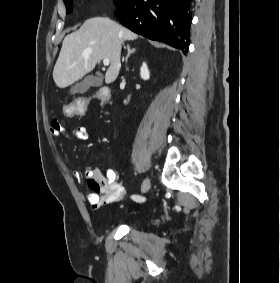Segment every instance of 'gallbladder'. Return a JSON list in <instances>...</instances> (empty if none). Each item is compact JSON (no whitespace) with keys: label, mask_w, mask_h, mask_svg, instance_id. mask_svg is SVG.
I'll return each mask as SVG.
<instances>
[{"label":"gallbladder","mask_w":280,"mask_h":283,"mask_svg":"<svg viewBox=\"0 0 280 283\" xmlns=\"http://www.w3.org/2000/svg\"><path fill=\"white\" fill-rule=\"evenodd\" d=\"M103 83V75L97 73L96 75H88L81 82L76 83L70 89V94H83L88 91L90 87H100Z\"/></svg>","instance_id":"1"}]
</instances>
